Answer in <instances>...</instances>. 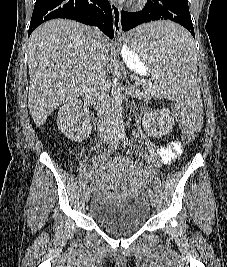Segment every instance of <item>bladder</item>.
Here are the masks:
<instances>
[{
    "mask_svg": "<svg viewBox=\"0 0 227 267\" xmlns=\"http://www.w3.org/2000/svg\"><path fill=\"white\" fill-rule=\"evenodd\" d=\"M149 208L141 194L121 199L96 200L90 217L96 224L114 235H127L141 228L149 218Z\"/></svg>",
    "mask_w": 227,
    "mask_h": 267,
    "instance_id": "1",
    "label": "bladder"
}]
</instances>
